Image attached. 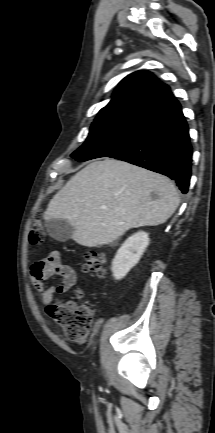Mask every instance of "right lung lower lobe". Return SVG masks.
<instances>
[{
	"label": "right lung lower lobe",
	"instance_id": "obj_1",
	"mask_svg": "<svg viewBox=\"0 0 215 433\" xmlns=\"http://www.w3.org/2000/svg\"><path fill=\"white\" fill-rule=\"evenodd\" d=\"M108 157L166 175L175 180L183 193H187L192 146L179 102L175 99L149 116L137 135Z\"/></svg>",
	"mask_w": 215,
	"mask_h": 433
}]
</instances>
